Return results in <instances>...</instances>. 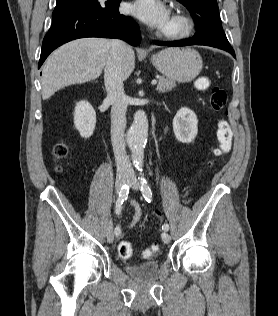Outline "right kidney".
<instances>
[{"instance_id":"right-kidney-1","label":"right kidney","mask_w":278,"mask_h":316,"mask_svg":"<svg viewBox=\"0 0 278 316\" xmlns=\"http://www.w3.org/2000/svg\"><path fill=\"white\" fill-rule=\"evenodd\" d=\"M74 124L81 137L89 138L93 134L96 125V113L89 102L81 101L76 104Z\"/></svg>"}]
</instances>
